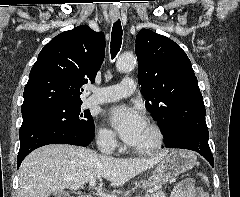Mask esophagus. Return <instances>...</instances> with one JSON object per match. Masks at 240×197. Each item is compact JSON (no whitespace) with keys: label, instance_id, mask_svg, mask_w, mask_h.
Here are the masks:
<instances>
[{"label":"esophagus","instance_id":"34e87169","mask_svg":"<svg viewBox=\"0 0 240 197\" xmlns=\"http://www.w3.org/2000/svg\"><path fill=\"white\" fill-rule=\"evenodd\" d=\"M119 16H120L119 13L113 12V13L110 14V19H111L112 21H116V20L119 19Z\"/></svg>","mask_w":240,"mask_h":197}]
</instances>
